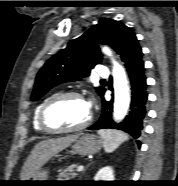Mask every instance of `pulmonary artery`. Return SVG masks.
<instances>
[{
    "label": "pulmonary artery",
    "mask_w": 178,
    "mask_h": 186,
    "mask_svg": "<svg viewBox=\"0 0 178 186\" xmlns=\"http://www.w3.org/2000/svg\"><path fill=\"white\" fill-rule=\"evenodd\" d=\"M96 71L97 74L101 77H107L109 74L107 67L104 65H98Z\"/></svg>",
    "instance_id": "e3ab8cb5"
}]
</instances>
